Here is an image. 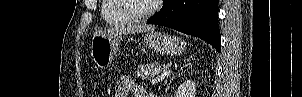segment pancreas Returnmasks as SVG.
Returning a JSON list of instances; mask_svg holds the SVG:
<instances>
[{
  "instance_id": "cf45deb5",
  "label": "pancreas",
  "mask_w": 302,
  "mask_h": 97,
  "mask_svg": "<svg viewBox=\"0 0 302 97\" xmlns=\"http://www.w3.org/2000/svg\"><path fill=\"white\" fill-rule=\"evenodd\" d=\"M167 69V65L162 64L158 65L157 63L141 65L136 70V77L138 79H148L149 77H153L155 72H162Z\"/></svg>"
}]
</instances>
